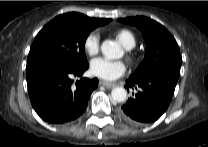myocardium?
Returning <instances> with one entry per match:
<instances>
[{
	"label": "myocardium",
	"mask_w": 208,
	"mask_h": 147,
	"mask_svg": "<svg viewBox=\"0 0 208 147\" xmlns=\"http://www.w3.org/2000/svg\"><path fill=\"white\" fill-rule=\"evenodd\" d=\"M126 56H127L128 60H130V61H132L134 59V55L129 49H127V51H126Z\"/></svg>",
	"instance_id": "myocardium-1"
}]
</instances>
